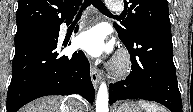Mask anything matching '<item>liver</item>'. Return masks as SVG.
Returning <instances> with one entry per match:
<instances>
[{"label":"liver","mask_w":193,"mask_h":112,"mask_svg":"<svg viewBox=\"0 0 193 112\" xmlns=\"http://www.w3.org/2000/svg\"><path fill=\"white\" fill-rule=\"evenodd\" d=\"M71 103L72 100L64 102L58 97L47 96L29 103L20 112H70ZM83 107L87 110V106L83 104Z\"/></svg>","instance_id":"6515ba94"}]
</instances>
